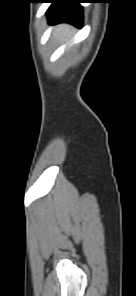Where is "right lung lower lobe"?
Returning a JSON list of instances; mask_svg holds the SVG:
<instances>
[{"instance_id": "right-lung-lower-lobe-1", "label": "right lung lower lobe", "mask_w": 136, "mask_h": 296, "mask_svg": "<svg viewBox=\"0 0 136 296\" xmlns=\"http://www.w3.org/2000/svg\"><path fill=\"white\" fill-rule=\"evenodd\" d=\"M86 0H50L47 15L49 23L66 22L81 27L83 24L82 7L79 3Z\"/></svg>"}]
</instances>
